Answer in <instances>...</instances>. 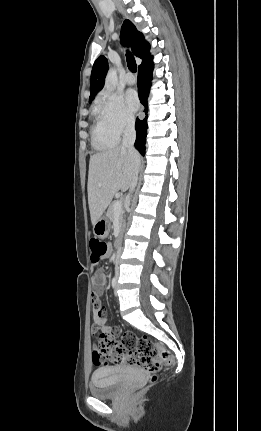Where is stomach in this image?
Segmentation results:
<instances>
[{
    "mask_svg": "<svg viewBox=\"0 0 261 431\" xmlns=\"http://www.w3.org/2000/svg\"><path fill=\"white\" fill-rule=\"evenodd\" d=\"M110 222L107 217H101L94 225H93V233L95 236L99 238H106L110 232Z\"/></svg>",
    "mask_w": 261,
    "mask_h": 431,
    "instance_id": "obj_1",
    "label": "stomach"
}]
</instances>
